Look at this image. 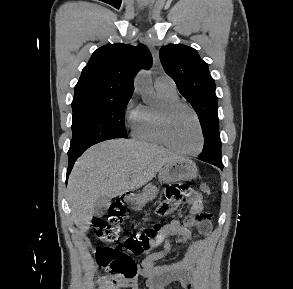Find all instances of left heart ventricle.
Instances as JSON below:
<instances>
[{"mask_svg": "<svg viewBox=\"0 0 293 289\" xmlns=\"http://www.w3.org/2000/svg\"><path fill=\"white\" fill-rule=\"evenodd\" d=\"M169 136L172 143L183 151H194L199 145L196 121L187 109H179L169 120Z\"/></svg>", "mask_w": 293, "mask_h": 289, "instance_id": "left-heart-ventricle-1", "label": "left heart ventricle"}]
</instances>
